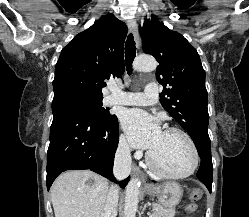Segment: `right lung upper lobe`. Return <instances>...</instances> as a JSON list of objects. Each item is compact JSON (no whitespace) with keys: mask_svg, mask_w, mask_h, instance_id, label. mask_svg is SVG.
I'll return each mask as SVG.
<instances>
[{"mask_svg":"<svg viewBox=\"0 0 249 217\" xmlns=\"http://www.w3.org/2000/svg\"><path fill=\"white\" fill-rule=\"evenodd\" d=\"M127 26L113 14L79 33L61 51L55 66L54 95L76 91L103 98L104 80L124 73Z\"/></svg>","mask_w":249,"mask_h":217,"instance_id":"obj_1","label":"right lung upper lobe"}]
</instances>
